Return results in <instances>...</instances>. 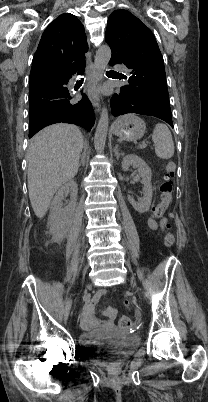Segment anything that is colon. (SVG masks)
<instances>
[{
    "label": "colon",
    "instance_id": "colon-1",
    "mask_svg": "<svg viewBox=\"0 0 208 402\" xmlns=\"http://www.w3.org/2000/svg\"><path fill=\"white\" fill-rule=\"evenodd\" d=\"M175 170H176V164L173 161H168L163 165L164 181L162 182L160 187V198L155 204L153 209V214L157 218L163 215L164 211L166 210V208L170 203L173 190V185L172 182L170 181V178L174 174ZM163 240L166 246L171 247L174 245L176 241V236L173 233L166 231L164 233ZM130 323L131 319L127 314H123L120 316L119 325L121 327H128Z\"/></svg>",
    "mask_w": 208,
    "mask_h": 402
}]
</instances>
